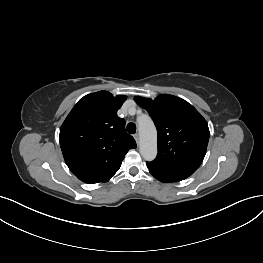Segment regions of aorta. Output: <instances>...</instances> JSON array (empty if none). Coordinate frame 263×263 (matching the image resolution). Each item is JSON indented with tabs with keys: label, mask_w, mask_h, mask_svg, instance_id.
I'll return each instance as SVG.
<instances>
[{
	"label": "aorta",
	"mask_w": 263,
	"mask_h": 263,
	"mask_svg": "<svg viewBox=\"0 0 263 263\" xmlns=\"http://www.w3.org/2000/svg\"><path fill=\"white\" fill-rule=\"evenodd\" d=\"M138 128L140 134V154L146 161H152L157 155V131L155 125L147 118L139 123Z\"/></svg>",
	"instance_id": "762f6f07"
}]
</instances>
